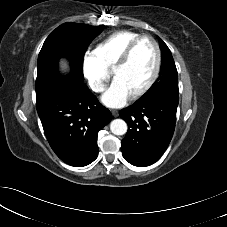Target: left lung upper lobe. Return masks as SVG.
Listing matches in <instances>:
<instances>
[{"label": "left lung upper lobe", "mask_w": 227, "mask_h": 227, "mask_svg": "<svg viewBox=\"0 0 227 227\" xmlns=\"http://www.w3.org/2000/svg\"><path fill=\"white\" fill-rule=\"evenodd\" d=\"M158 39L162 57L159 78L137 101H142L156 95H165L179 99L178 73L171 51L160 38Z\"/></svg>", "instance_id": "5c2ea615"}]
</instances>
